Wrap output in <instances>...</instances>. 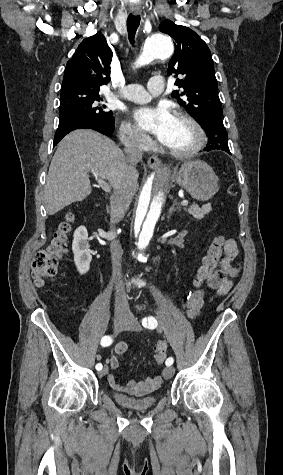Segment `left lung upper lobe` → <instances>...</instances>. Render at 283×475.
Wrapping results in <instances>:
<instances>
[{
  "label": "left lung upper lobe",
  "mask_w": 283,
  "mask_h": 475,
  "mask_svg": "<svg viewBox=\"0 0 283 475\" xmlns=\"http://www.w3.org/2000/svg\"><path fill=\"white\" fill-rule=\"evenodd\" d=\"M159 30L174 39L175 53L169 61L168 74L183 75L175 85L182 88L172 97L203 125L204 121L222 118V105L211 52L206 43L188 27L165 20Z\"/></svg>",
  "instance_id": "left-lung-upper-lobe-1"
}]
</instances>
